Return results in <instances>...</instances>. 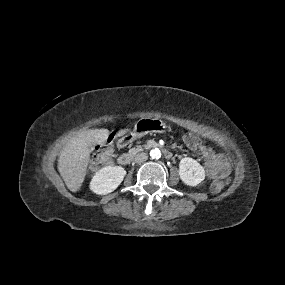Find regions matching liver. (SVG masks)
Instances as JSON below:
<instances>
[{
  "instance_id": "obj_1",
  "label": "liver",
  "mask_w": 285,
  "mask_h": 285,
  "mask_svg": "<svg viewBox=\"0 0 285 285\" xmlns=\"http://www.w3.org/2000/svg\"><path fill=\"white\" fill-rule=\"evenodd\" d=\"M127 131L121 130L119 135H123ZM109 134L108 129L86 130L79 133L68 144L61 159L59 171L70 191H78L85 179L90 160L89 147L105 142Z\"/></svg>"
}]
</instances>
